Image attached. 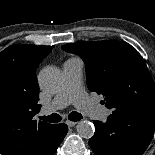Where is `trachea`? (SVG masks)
Returning <instances> with one entry per match:
<instances>
[{
    "label": "trachea",
    "mask_w": 155,
    "mask_h": 155,
    "mask_svg": "<svg viewBox=\"0 0 155 155\" xmlns=\"http://www.w3.org/2000/svg\"><path fill=\"white\" fill-rule=\"evenodd\" d=\"M41 120L47 121V122H53V123H57L61 121V116L59 114L53 113L49 116H41L39 117ZM83 117L80 113L78 112H71L68 115V119L71 121H79L81 120Z\"/></svg>",
    "instance_id": "trachea-1"
}]
</instances>
